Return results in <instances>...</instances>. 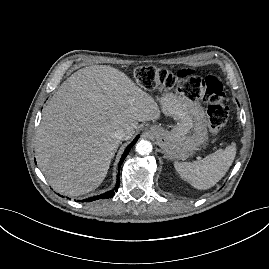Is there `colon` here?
<instances>
[{
  "mask_svg": "<svg viewBox=\"0 0 269 269\" xmlns=\"http://www.w3.org/2000/svg\"><path fill=\"white\" fill-rule=\"evenodd\" d=\"M137 83L146 90L176 89L187 98L208 103L209 133L215 138L228 121L222 83L214 76L200 77L189 70L172 73L164 69L144 66L135 71Z\"/></svg>",
  "mask_w": 269,
  "mask_h": 269,
  "instance_id": "obj_1",
  "label": "colon"
}]
</instances>
